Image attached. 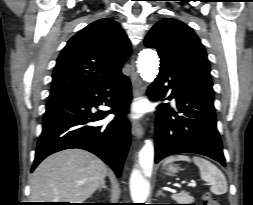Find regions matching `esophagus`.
Segmentation results:
<instances>
[{
	"instance_id": "esophagus-1",
	"label": "esophagus",
	"mask_w": 253,
	"mask_h": 205,
	"mask_svg": "<svg viewBox=\"0 0 253 205\" xmlns=\"http://www.w3.org/2000/svg\"><path fill=\"white\" fill-rule=\"evenodd\" d=\"M131 78H132V84H133V88H132L133 98L137 99L140 96H142V94L144 92V87H143L141 81L139 80L138 75L134 69V62H132ZM131 131H132V134L134 137L140 139L143 135L144 129H143V126L140 122L133 121Z\"/></svg>"
}]
</instances>
